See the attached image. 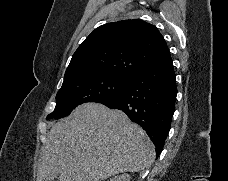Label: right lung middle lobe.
Returning <instances> with one entry per match:
<instances>
[{"label":"right lung middle lobe","mask_w":228,"mask_h":181,"mask_svg":"<svg viewBox=\"0 0 228 181\" xmlns=\"http://www.w3.org/2000/svg\"><path fill=\"white\" fill-rule=\"evenodd\" d=\"M131 77L101 74L63 84L56 95V107L47 116L59 119L68 116L80 104L112 100L128 85Z\"/></svg>","instance_id":"right-lung-middle-lobe-1"}]
</instances>
